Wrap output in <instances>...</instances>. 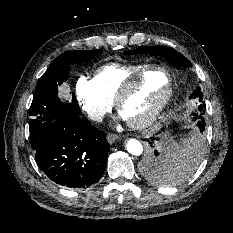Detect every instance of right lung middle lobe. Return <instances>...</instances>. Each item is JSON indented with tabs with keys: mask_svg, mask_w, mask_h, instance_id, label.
Listing matches in <instances>:
<instances>
[{
	"mask_svg": "<svg viewBox=\"0 0 233 233\" xmlns=\"http://www.w3.org/2000/svg\"><path fill=\"white\" fill-rule=\"evenodd\" d=\"M97 50L67 51L55 58L38 83L30 107L29 130L33 150L38 153L50 132L52 122L66 114H79L80 108L73 95L71 103H63L57 96V87L67 79L69 61H86L98 53Z\"/></svg>",
	"mask_w": 233,
	"mask_h": 233,
	"instance_id": "dd1d6c3e",
	"label": "right lung middle lobe"
}]
</instances>
